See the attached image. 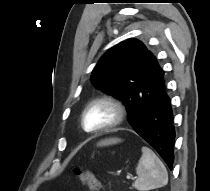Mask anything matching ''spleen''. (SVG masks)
Instances as JSON below:
<instances>
[{"mask_svg":"<svg viewBox=\"0 0 210 191\" xmlns=\"http://www.w3.org/2000/svg\"><path fill=\"white\" fill-rule=\"evenodd\" d=\"M142 156L136 167L138 178L133 186L139 191L154 190L168 183V173L163 162L148 147H142Z\"/></svg>","mask_w":210,"mask_h":191,"instance_id":"obj_1","label":"spleen"}]
</instances>
